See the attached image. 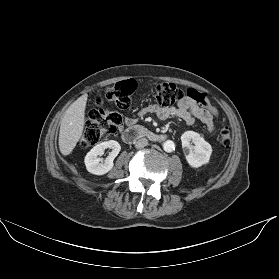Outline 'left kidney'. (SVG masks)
I'll use <instances>...</instances> for the list:
<instances>
[{
  "label": "left kidney",
  "mask_w": 279,
  "mask_h": 279,
  "mask_svg": "<svg viewBox=\"0 0 279 279\" xmlns=\"http://www.w3.org/2000/svg\"><path fill=\"white\" fill-rule=\"evenodd\" d=\"M181 142L185 158L191 167L198 168L209 162L212 147L199 133L186 131L181 135Z\"/></svg>",
  "instance_id": "5707ae66"
}]
</instances>
